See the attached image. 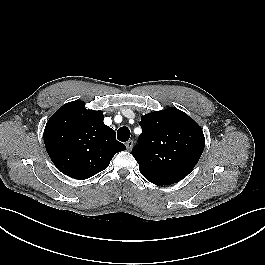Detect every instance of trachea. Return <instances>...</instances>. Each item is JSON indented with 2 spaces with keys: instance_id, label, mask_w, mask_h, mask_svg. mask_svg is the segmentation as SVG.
I'll return each instance as SVG.
<instances>
[{
  "instance_id": "1",
  "label": "trachea",
  "mask_w": 265,
  "mask_h": 265,
  "mask_svg": "<svg viewBox=\"0 0 265 265\" xmlns=\"http://www.w3.org/2000/svg\"><path fill=\"white\" fill-rule=\"evenodd\" d=\"M117 138L122 142L128 141V139L130 138V130L128 129V127L123 126L119 128V130L117 131Z\"/></svg>"
}]
</instances>
